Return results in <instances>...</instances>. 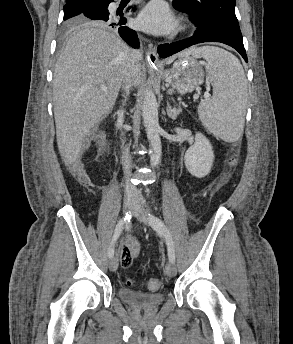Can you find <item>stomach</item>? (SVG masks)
Listing matches in <instances>:
<instances>
[{
	"mask_svg": "<svg viewBox=\"0 0 293 344\" xmlns=\"http://www.w3.org/2000/svg\"><path fill=\"white\" fill-rule=\"evenodd\" d=\"M163 79L179 93L185 94L197 89L205 73L202 65L188 54H180L171 69L162 72Z\"/></svg>",
	"mask_w": 293,
	"mask_h": 344,
	"instance_id": "obj_1",
	"label": "stomach"
}]
</instances>
